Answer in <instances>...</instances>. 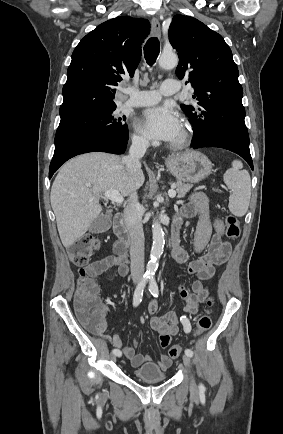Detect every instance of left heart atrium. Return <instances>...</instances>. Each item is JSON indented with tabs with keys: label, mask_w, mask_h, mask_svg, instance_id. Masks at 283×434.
Here are the masks:
<instances>
[{
	"label": "left heart atrium",
	"mask_w": 283,
	"mask_h": 434,
	"mask_svg": "<svg viewBox=\"0 0 283 434\" xmlns=\"http://www.w3.org/2000/svg\"><path fill=\"white\" fill-rule=\"evenodd\" d=\"M139 128L150 139L173 141L181 130V122L170 105H162L146 109Z\"/></svg>",
	"instance_id": "obj_1"
}]
</instances>
